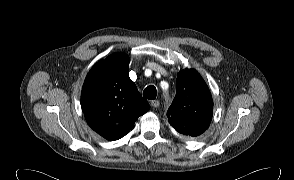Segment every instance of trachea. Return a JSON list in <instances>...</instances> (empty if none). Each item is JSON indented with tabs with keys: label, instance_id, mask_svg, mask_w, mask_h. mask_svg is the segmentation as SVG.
Masks as SVG:
<instances>
[{
	"label": "trachea",
	"instance_id": "1",
	"mask_svg": "<svg viewBox=\"0 0 294 180\" xmlns=\"http://www.w3.org/2000/svg\"><path fill=\"white\" fill-rule=\"evenodd\" d=\"M143 96L147 99H155L157 96V90L155 86L150 85L146 87L145 90L143 91Z\"/></svg>",
	"mask_w": 294,
	"mask_h": 180
}]
</instances>
